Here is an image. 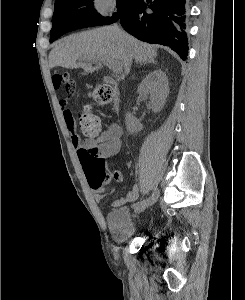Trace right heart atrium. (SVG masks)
Returning a JSON list of instances; mask_svg holds the SVG:
<instances>
[{
	"label": "right heart atrium",
	"instance_id": "right-heart-atrium-1",
	"mask_svg": "<svg viewBox=\"0 0 245 300\" xmlns=\"http://www.w3.org/2000/svg\"><path fill=\"white\" fill-rule=\"evenodd\" d=\"M92 8L101 16H109L116 8V0H92Z\"/></svg>",
	"mask_w": 245,
	"mask_h": 300
}]
</instances>
